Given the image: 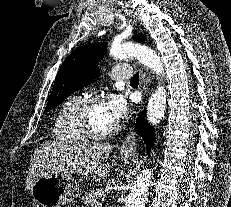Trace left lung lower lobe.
I'll return each instance as SVG.
<instances>
[{"label": "left lung lower lobe", "mask_w": 231, "mask_h": 207, "mask_svg": "<svg viewBox=\"0 0 231 207\" xmlns=\"http://www.w3.org/2000/svg\"><path fill=\"white\" fill-rule=\"evenodd\" d=\"M143 112L139 113V116L137 118L136 122V128L135 131L137 134H139L143 140L146 143L147 149L152 147L154 142V130L151 128V126L147 123V121L143 118Z\"/></svg>", "instance_id": "obj_1"}]
</instances>
